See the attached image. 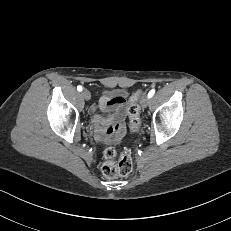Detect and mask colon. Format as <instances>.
<instances>
[{"label":"colon","instance_id":"1","mask_svg":"<svg viewBox=\"0 0 231 231\" xmlns=\"http://www.w3.org/2000/svg\"><path fill=\"white\" fill-rule=\"evenodd\" d=\"M142 92H135L128 103L127 115L129 118L130 130L135 132L141 123L138 100ZM133 169V158L128 150L117 152L112 147H107L103 151V161L101 172L104 177L112 179L121 176H127Z\"/></svg>","mask_w":231,"mask_h":231}]
</instances>
